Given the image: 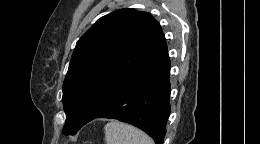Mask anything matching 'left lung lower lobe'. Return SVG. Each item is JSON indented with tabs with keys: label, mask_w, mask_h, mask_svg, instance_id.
<instances>
[{
	"label": "left lung lower lobe",
	"mask_w": 260,
	"mask_h": 144,
	"mask_svg": "<svg viewBox=\"0 0 260 144\" xmlns=\"http://www.w3.org/2000/svg\"><path fill=\"white\" fill-rule=\"evenodd\" d=\"M163 58L169 59L167 48L134 69L94 119L129 123L145 131L156 144H163L171 112L170 83L157 66L158 60Z\"/></svg>",
	"instance_id": "left-lung-lower-lobe-1"
}]
</instances>
